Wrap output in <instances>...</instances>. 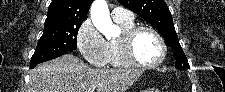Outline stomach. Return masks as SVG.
I'll return each mask as SVG.
<instances>
[{
  "label": "stomach",
  "instance_id": "obj_1",
  "mask_svg": "<svg viewBox=\"0 0 225 92\" xmlns=\"http://www.w3.org/2000/svg\"><path fill=\"white\" fill-rule=\"evenodd\" d=\"M147 92H154V90H151V91L149 90V91H147ZM155 92H157V91H155Z\"/></svg>",
  "mask_w": 225,
  "mask_h": 92
}]
</instances>
